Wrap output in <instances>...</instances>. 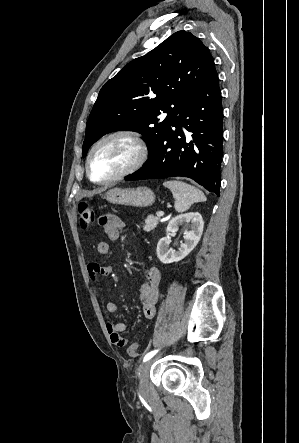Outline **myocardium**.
Masks as SVG:
<instances>
[{
	"instance_id": "obj_1",
	"label": "myocardium",
	"mask_w": 299,
	"mask_h": 443,
	"mask_svg": "<svg viewBox=\"0 0 299 443\" xmlns=\"http://www.w3.org/2000/svg\"><path fill=\"white\" fill-rule=\"evenodd\" d=\"M113 138H122V139L129 141L135 148V152H136L135 158L126 168H124L123 170H121L117 174H115L111 177L105 178V179H100V180L94 179L91 174V161L94 156V153L96 152V150L98 149V147L100 145H102L104 142H106L110 139H113ZM147 153H148L147 144H146L144 138L142 137V135L140 133H138L137 131L117 130V131L108 133V134L104 135L103 137H101L100 139H98L89 150V153H88V156L86 159L87 177L89 178V180L91 182H93L95 184H110L112 182H115V181L120 180V179L136 172L137 170H139L146 161Z\"/></svg>"
}]
</instances>
